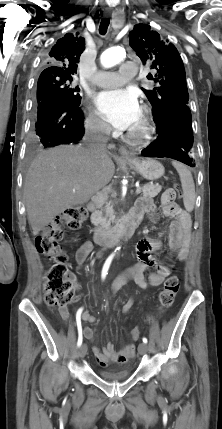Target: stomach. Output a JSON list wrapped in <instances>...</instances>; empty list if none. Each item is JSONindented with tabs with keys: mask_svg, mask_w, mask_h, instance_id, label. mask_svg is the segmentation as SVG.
<instances>
[{
	"mask_svg": "<svg viewBox=\"0 0 222 429\" xmlns=\"http://www.w3.org/2000/svg\"><path fill=\"white\" fill-rule=\"evenodd\" d=\"M127 164L147 180H156L164 175V166L154 159H135Z\"/></svg>",
	"mask_w": 222,
	"mask_h": 429,
	"instance_id": "stomach-1",
	"label": "stomach"
}]
</instances>
